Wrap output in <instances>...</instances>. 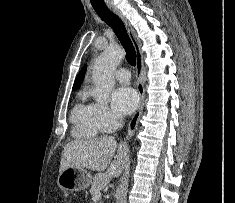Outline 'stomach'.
<instances>
[{
	"label": "stomach",
	"instance_id": "obj_1",
	"mask_svg": "<svg viewBox=\"0 0 235 203\" xmlns=\"http://www.w3.org/2000/svg\"><path fill=\"white\" fill-rule=\"evenodd\" d=\"M92 182L91 174L80 167H69L62 171L57 179L58 186L69 192L85 190Z\"/></svg>",
	"mask_w": 235,
	"mask_h": 203
}]
</instances>
